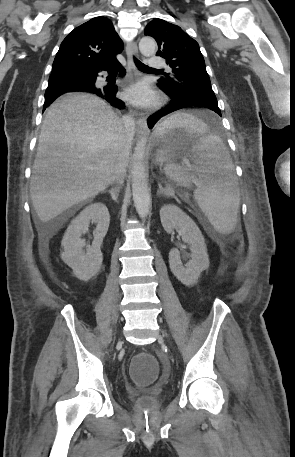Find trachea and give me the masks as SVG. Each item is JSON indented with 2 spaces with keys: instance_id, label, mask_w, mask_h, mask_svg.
Here are the masks:
<instances>
[{
  "instance_id": "trachea-1",
  "label": "trachea",
  "mask_w": 295,
  "mask_h": 457,
  "mask_svg": "<svg viewBox=\"0 0 295 457\" xmlns=\"http://www.w3.org/2000/svg\"><path fill=\"white\" fill-rule=\"evenodd\" d=\"M134 62L136 64V66L138 67V69H140V70H154V69L148 67L147 65L143 64L136 57H134Z\"/></svg>"
}]
</instances>
